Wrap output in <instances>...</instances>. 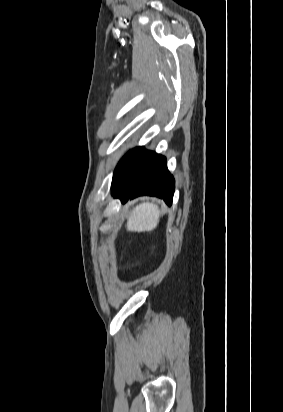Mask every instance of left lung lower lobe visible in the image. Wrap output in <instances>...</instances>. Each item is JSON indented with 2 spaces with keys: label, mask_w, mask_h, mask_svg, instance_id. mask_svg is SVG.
<instances>
[{
  "label": "left lung lower lobe",
  "mask_w": 283,
  "mask_h": 412,
  "mask_svg": "<svg viewBox=\"0 0 283 412\" xmlns=\"http://www.w3.org/2000/svg\"><path fill=\"white\" fill-rule=\"evenodd\" d=\"M175 180L169 173L166 159L156 152L147 151L131 176L123 183L113 176L111 193L122 203L137 196L150 195L172 204Z\"/></svg>",
  "instance_id": "obj_1"
}]
</instances>
